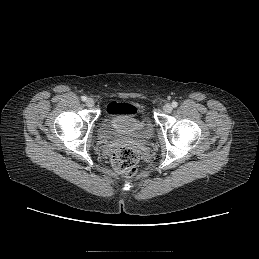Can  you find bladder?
<instances>
[{
  "label": "bladder",
  "instance_id": "bladder-1",
  "mask_svg": "<svg viewBox=\"0 0 259 259\" xmlns=\"http://www.w3.org/2000/svg\"><path fill=\"white\" fill-rule=\"evenodd\" d=\"M129 112L106 109L101 123V134L105 138H115L124 135L150 136L153 125L139 104H125Z\"/></svg>",
  "mask_w": 259,
  "mask_h": 259
}]
</instances>
